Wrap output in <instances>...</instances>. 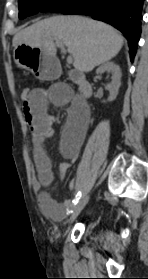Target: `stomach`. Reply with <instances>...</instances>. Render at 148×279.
<instances>
[{"label": "stomach", "mask_w": 148, "mask_h": 279, "mask_svg": "<svg viewBox=\"0 0 148 279\" xmlns=\"http://www.w3.org/2000/svg\"><path fill=\"white\" fill-rule=\"evenodd\" d=\"M14 59H17L18 65L24 68L22 75L39 78V82H56L59 76L58 60L42 49L19 45L15 49Z\"/></svg>", "instance_id": "stomach-1"}]
</instances>
